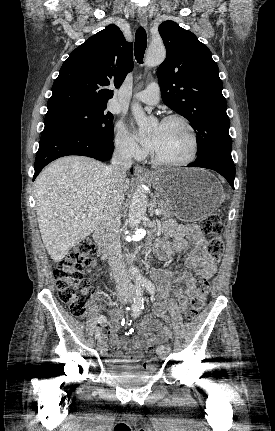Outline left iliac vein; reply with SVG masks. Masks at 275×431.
<instances>
[{"mask_svg": "<svg viewBox=\"0 0 275 431\" xmlns=\"http://www.w3.org/2000/svg\"><path fill=\"white\" fill-rule=\"evenodd\" d=\"M169 353H170V349H169V348L165 349V350L160 354L161 359H166Z\"/></svg>", "mask_w": 275, "mask_h": 431, "instance_id": "left-iliac-vein-1", "label": "left iliac vein"}]
</instances>
